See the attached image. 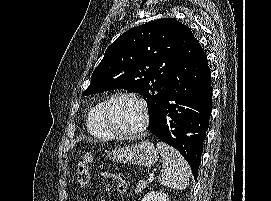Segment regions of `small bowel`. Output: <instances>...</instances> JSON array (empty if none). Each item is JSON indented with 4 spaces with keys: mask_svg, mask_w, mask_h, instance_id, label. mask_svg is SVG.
<instances>
[{
    "mask_svg": "<svg viewBox=\"0 0 271 201\" xmlns=\"http://www.w3.org/2000/svg\"><path fill=\"white\" fill-rule=\"evenodd\" d=\"M112 178L115 181L116 187L120 192H125L127 190L128 183L125 178L118 175H113Z\"/></svg>",
    "mask_w": 271,
    "mask_h": 201,
    "instance_id": "obj_1",
    "label": "small bowel"
}]
</instances>
